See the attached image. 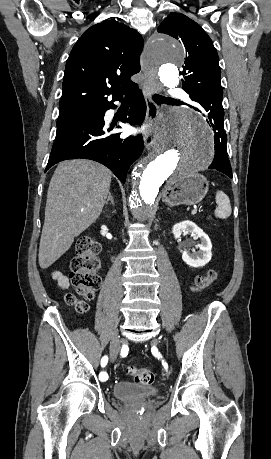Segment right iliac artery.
<instances>
[{"label":"right iliac artery","instance_id":"obj_1","mask_svg":"<svg viewBox=\"0 0 271 459\" xmlns=\"http://www.w3.org/2000/svg\"><path fill=\"white\" fill-rule=\"evenodd\" d=\"M107 362H108V357H107V356H104V357L101 359V366H102V367H105L106 364H107ZM101 373L103 374L102 376H103V378H104V379H103L104 382L107 383V382L111 381L112 378H111V376H109L108 373H106V370H105V369H102V370H101Z\"/></svg>","mask_w":271,"mask_h":459}]
</instances>
